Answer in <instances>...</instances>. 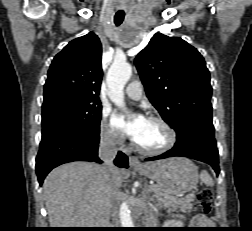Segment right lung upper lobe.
<instances>
[{
	"instance_id": "cb5924a9",
	"label": "right lung upper lobe",
	"mask_w": 252,
	"mask_h": 231,
	"mask_svg": "<svg viewBox=\"0 0 252 231\" xmlns=\"http://www.w3.org/2000/svg\"><path fill=\"white\" fill-rule=\"evenodd\" d=\"M101 55L102 45L93 32L69 42L50 65L44 99L70 94L99 100Z\"/></svg>"
}]
</instances>
